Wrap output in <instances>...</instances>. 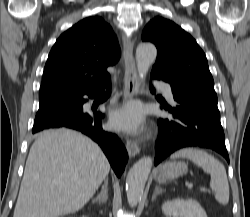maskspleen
Listing matches in <instances>:
<instances>
[{"label": "spleen", "mask_w": 250, "mask_h": 217, "mask_svg": "<svg viewBox=\"0 0 250 217\" xmlns=\"http://www.w3.org/2000/svg\"><path fill=\"white\" fill-rule=\"evenodd\" d=\"M171 158H188L211 176L210 187L215 192V199L222 205L229 202V184L224 165L204 150L197 148L181 149Z\"/></svg>", "instance_id": "1"}]
</instances>
